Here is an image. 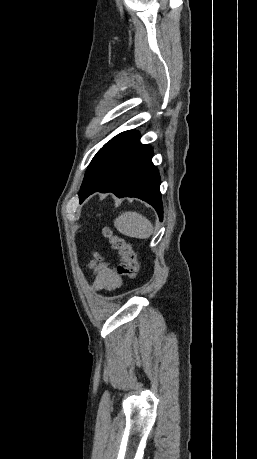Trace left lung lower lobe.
<instances>
[{
	"label": "left lung lower lobe",
	"mask_w": 257,
	"mask_h": 459,
	"mask_svg": "<svg viewBox=\"0 0 257 459\" xmlns=\"http://www.w3.org/2000/svg\"><path fill=\"white\" fill-rule=\"evenodd\" d=\"M139 139L136 131H125L99 150L100 168L82 201L93 192L137 197L151 204L162 220L159 173L151 162L152 149L142 145Z\"/></svg>",
	"instance_id": "1"
}]
</instances>
